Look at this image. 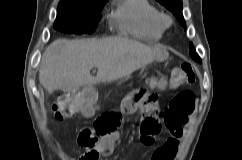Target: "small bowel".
Here are the masks:
<instances>
[{
    "instance_id": "obj_1",
    "label": "small bowel",
    "mask_w": 242,
    "mask_h": 160,
    "mask_svg": "<svg viewBox=\"0 0 242 160\" xmlns=\"http://www.w3.org/2000/svg\"><path fill=\"white\" fill-rule=\"evenodd\" d=\"M128 99L129 97H126L124 100V110L126 112L133 113L138 110V106L129 105ZM95 111L96 109L94 108L89 112H83L82 115L85 117H90L94 115ZM184 123L185 122H182L180 126L176 128L168 127L172 136L168 138L166 142L154 152L151 160H173L178 151L179 139L182 135V128ZM118 138L119 134L115 130L103 137H100L94 147V150L98 154V158L100 154L103 156L111 154L115 148ZM92 150V148H87L86 152L82 155L81 160H89L88 155Z\"/></svg>"
}]
</instances>
